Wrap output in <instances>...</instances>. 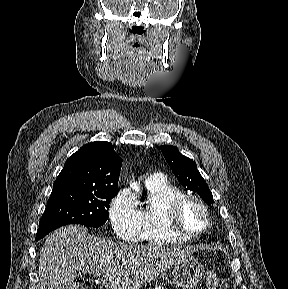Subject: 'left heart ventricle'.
I'll use <instances>...</instances> for the list:
<instances>
[{
    "instance_id": "left-heart-ventricle-1",
    "label": "left heart ventricle",
    "mask_w": 288,
    "mask_h": 289,
    "mask_svg": "<svg viewBox=\"0 0 288 289\" xmlns=\"http://www.w3.org/2000/svg\"><path fill=\"white\" fill-rule=\"evenodd\" d=\"M181 226L191 233L200 232L206 225V217L202 208L193 201L186 202L179 210Z\"/></svg>"
}]
</instances>
